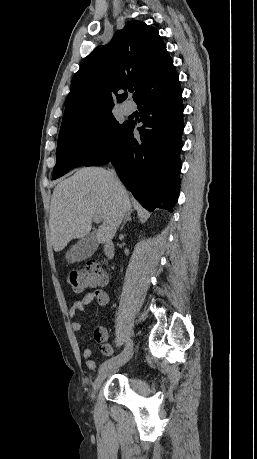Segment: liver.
Masks as SVG:
<instances>
[{
    "label": "liver",
    "instance_id": "1",
    "mask_svg": "<svg viewBox=\"0 0 257 459\" xmlns=\"http://www.w3.org/2000/svg\"><path fill=\"white\" fill-rule=\"evenodd\" d=\"M131 207L126 188L110 171L79 169L60 182L51 197L49 227L54 250L62 251L71 240L89 234L95 215L103 221L95 234L97 242H109Z\"/></svg>",
    "mask_w": 257,
    "mask_h": 459
}]
</instances>
